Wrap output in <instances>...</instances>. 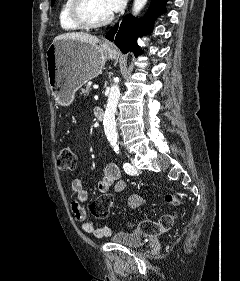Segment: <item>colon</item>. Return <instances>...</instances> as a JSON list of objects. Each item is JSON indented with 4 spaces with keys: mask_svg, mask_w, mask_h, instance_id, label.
Instances as JSON below:
<instances>
[{
    "mask_svg": "<svg viewBox=\"0 0 240 281\" xmlns=\"http://www.w3.org/2000/svg\"><path fill=\"white\" fill-rule=\"evenodd\" d=\"M57 164L62 171H73L76 168V156L69 148H63L57 158ZM168 203L179 206L181 199L177 196L168 193L165 196ZM112 205V199L109 195H101L95 198L91 205L90 210L93 216L99 220H104L108 217ZM176 220V211L171 210L164 214L159 220H142L138 223L137 228L144 234L157 235L161 232L167 231L173 227Z\"/></svg>",
    "mask_w": 240,
    "mask_h": 281,
    "instance_id": "obj_1",
    "label": "colon"
}]
</instances>
